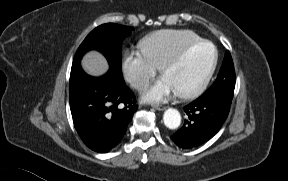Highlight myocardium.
<instances>
[{
	"label": "myocardium",
	"instance_id": "myocardium-1",
	"mask_svg": "<svg viewBox=\"0 0 288 181\" xmlns=\"http://www.w3.org/2000/svg\"><path fill=\"white\" fill-rule=\"evenodd\" d=\"M204 44H209L214 48L215 56H214L213 64H212L209 72L205 76V78L199 84H197L193 88L176 92V95L181 97V98H192V97L199 95L200 93H202L205 90V88L207 87V85L211 81V79H212V77L216 71L217 65H218V61H219L218 47L210 40L201 39L199 41L193 42V43L183 47L172 58H170L168 61H166L160 68V73L162 76H164V74L167 73L169 70L178 66L191 51H193L195 48H197L201 45H204Z\"/></svg>",
	"mask_w": 288,
	"mask_h": 181
}]
</instances>
